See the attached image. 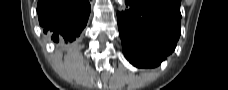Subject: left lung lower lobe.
Segmentation results:
<instances>
[{"instance_id": "obj_1", "label": "left lung lower lobe", "mask_w": 228, "mask_h": 90, "mask_svg": "<svg viewBox=\"0 0 228 90\" xmlns=\"http://www.w3.org/2000/svg\"><path fill=\"white\" fill-rule=\"evenodd\" d=\"M117 13L126 58L137 67L159 65L172 53L181 34L180 0H126Z\"/></svg>"}]
</instances>
